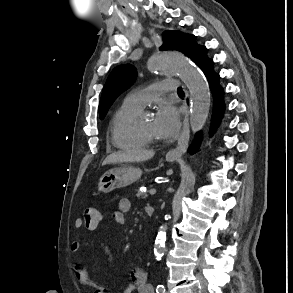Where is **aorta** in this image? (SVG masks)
Here are the masks:
<instances>
[{"label": "aorta", "mask_w": 293, "mask_h": 293, "mask_svg": "<svg viewBox=\"0 0 293 293\" xmlns=\"http://www.w3.org/2000/svg\"><path fill=\"white\" fill-rule=\"evenodd\" d=\"M149 67L157 73H175L186 84L190 92V126L193 133L201 130L210 109L209 86L199 69L182 54L174 51L155 53L149 60ZM167 225L160 226L156 237L154 254L161 259L165 251Z\"/></svg>", "instance_id": "obj_1"}]
</instances>
